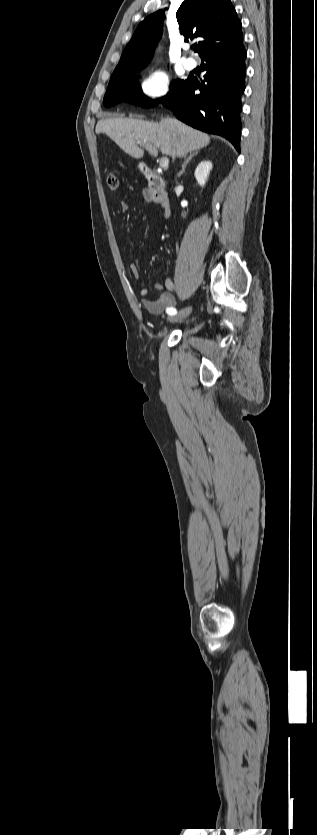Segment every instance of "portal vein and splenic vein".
I'll use <instances>...</instances> for the list:
<instances>
[{"label":"portal vein and splenic vein","mask_w":317,"mask_h":835,"mask_svg":"<svg viewBox=\"0 0 317 835\" xmlns=\"http://www.w3.org/2000/svg\"><path fill=\"white\" fill-rule=\"evenodd\" d=\"M141 146H143L150 154H152L154 156L158 155L157 149L155 147H153L151 144H148L147 142H142ZM168 164H169V159L167 157L161 158L160 163H159L160 167L165 168V167L168 166Z\"/></svg>","instance_id":"obj_1"}]
</instances>
